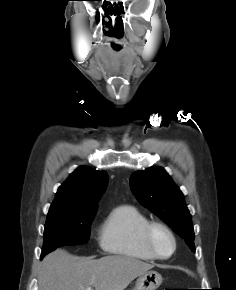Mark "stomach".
<instances>
[{
    "mask_svg": "<svg viewBox=\"0 0 236 290\" xmlns=\"http://www.w3.org/2000/svg\"><path fill=\"white\" fill-rule=\"evenodd\" d=\"M162 276L156 271L140 275L133 290H156L162 283Z\"/></svg>",
    "mask_w": 236,
    "mask_h": 290,
    "instance_id": "obj_1",
    "label": "stomach"
}]
</instances>
